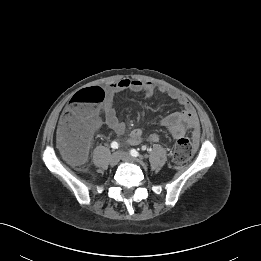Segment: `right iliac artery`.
Wrapping results in <instances>:
<instances>
[{
	"mask_svg": "<svg viewBox=\"0 0 261 261\" xmlns=\"http://www.w3.org/2000/svg\"><path fill=\"white\" fill-rule=\"evenodd\" d=\"M111 147H112L113 149H117V148L119 147V144H118L116 141H113V142L111 143Z\"/></svg>",
	"mask_w": 261,
	"mask_h": 261,
	"instance_id": "1",
	"label": "right iliac artery"
}]
</instances>
